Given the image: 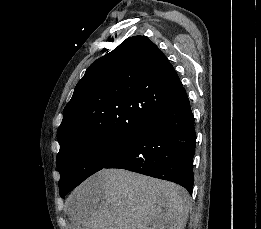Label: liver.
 <instances>
[{
	"mask_svg": "<svg viewBox=\"0 0 261 229\" xmlns=\"http://www.w3.org/2000/svg\"><path fill=\"white\" fill-rule=\"evenodd\" d=\"M189 205L180 185L124 169H102L66 201L72 229H184Z\"/></svg>",
	"mask_w": 261,
	"mask_h": 229,
	"instance_id": "liver-1",
	"label": "liver"
}]
</instances>
